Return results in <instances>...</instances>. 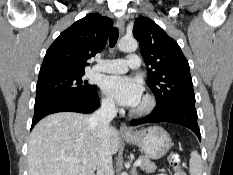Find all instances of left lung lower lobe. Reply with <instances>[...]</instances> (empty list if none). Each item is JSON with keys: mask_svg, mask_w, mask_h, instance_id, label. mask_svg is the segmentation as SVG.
Instances as JSON below:
<instances>
[{"mask_svg": "<svg viewBox=\"0 0 233 175\" xmlns=\"http://www.w3.org/2000/svg\"><path fill=\"white\" fill-rule=\"evenodd\" d=\"M155 122H170L185 126L191 129L201 140L195 104H178L163 111H153L144 118L132 120L131 124L136 126Z\"/></svg>", "mask_w": 233, "mask_h": 175, "instance_id": "obj_1", "label": "left lung lower lobe"}]
</instances>
